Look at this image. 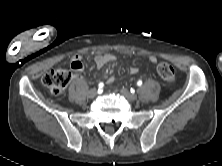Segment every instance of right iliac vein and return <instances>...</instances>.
<instances>
[{
  "label": "right iliac vein",
  "instance_id": "right-iliac-vein-1",
  "mask_svg": "<svg viewBox=\"0 0 222 166\" xmlns=\"http://www.w3.org/2000/svg\"><path fill=\"white\" fill-rule=\"evenodd\" d=\"M97 95V90L96 89H91L88 91V97L94 98Z\"/></svg>",
  "mask_w": 222,
  "mask_h": 166
}]
</instances>
